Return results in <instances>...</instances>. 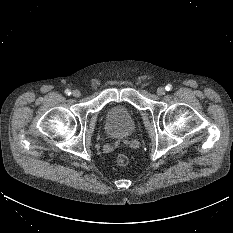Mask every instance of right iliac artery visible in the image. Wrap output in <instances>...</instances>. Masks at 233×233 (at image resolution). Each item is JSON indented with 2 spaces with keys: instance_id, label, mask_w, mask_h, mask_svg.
Listing matches in <instances>:
<instances>
[{
  "instance_id": "obj_1",
  "label": "right iliac artery",
  "mask_w": 233,
  "mask_h": 233,
  "mask_svg": "<svg viewBox=\"0 0 233 233\" xmlns=\"http://www.w3.org/2000/svg\"><path fill=\"white\" fill-rule=\"evenodd\" d=\"M66 95H70L71 91L69 89L65 90Z\"/></svg>"
}]
</instances>
